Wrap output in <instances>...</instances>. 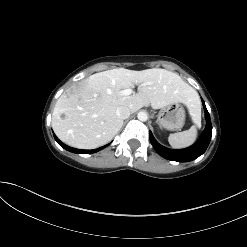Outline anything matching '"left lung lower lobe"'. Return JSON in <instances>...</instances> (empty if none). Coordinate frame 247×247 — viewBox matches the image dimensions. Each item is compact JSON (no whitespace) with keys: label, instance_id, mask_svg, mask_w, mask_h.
Instances as JSON below:
<instances>
[{"label":"left lung lower lobe","instance_id":"1","mask_svg":"<svg viewBox=\"0 0 247 247\" xmlns=\"http://www.w3.org/2000/svg\"><path fill=\"white\" fill-rule=\"evenodd\" d=\"M202 103H203V107L205 110V117H206L207 124H206V128L204 132L202 133L200 139L192 146L185 148V149H180V150L168 149L160 145L153 137L151 131L149 132L150 142L153 148L156 150V152L159 155H161L162 157L166 159L172 160V161L188 162V161H192L198 158L200 155H202L205 152L211 140L212 125H211L209 112L207 111V108L203 100H202Z\"/></svg>","mask_w":247,"mask_h":247}]
</instances>
